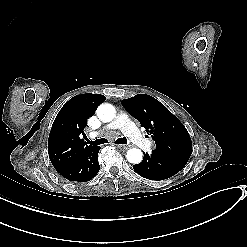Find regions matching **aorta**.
I'll list each match as a JSON object with an SVG mask.
<instances>
[{
	"label": "aorta",
	"mask_w": 247,
	"mask_h": 247,
	"mask_svg": "<svg viewBox=\"0 0 247 247\" xmlns=\"http://www.w3.org/2000/svg\"><path fill=\"white\" fill-rule=\"evenodd\" d=\"M98 118L102 122H110L115 117V108L113 105L105 103L98 106L96 110ZM127 160L132 164H139L142 161V151L137 148H132L127 151Z\"/></svg>",
	"instance_id": "aorta-1"
}]
</instances>
